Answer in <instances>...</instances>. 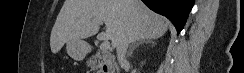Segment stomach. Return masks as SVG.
<instances>
[{
	"instance_id": "1",
	"label": "stomach",
	"mask_w": 244,
	"mask_h": 73,
	"mask_svg": "<svg viewBox=\"0 0 244 73\" xmlns=\"http://www.w3.org/2000/svg\"><path fill=\"white\" fill-rule=\"evenodd\" d=\"M67 53L71 58L81 61L88 53V44L83 40H71L66 43Z\"/></svg>"
}]
</instances>
